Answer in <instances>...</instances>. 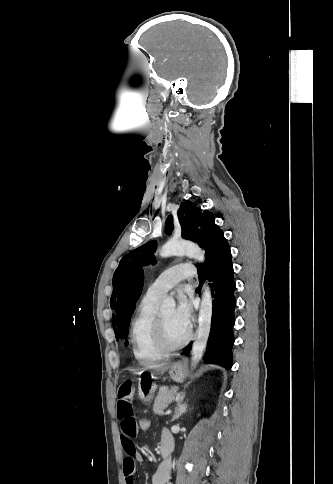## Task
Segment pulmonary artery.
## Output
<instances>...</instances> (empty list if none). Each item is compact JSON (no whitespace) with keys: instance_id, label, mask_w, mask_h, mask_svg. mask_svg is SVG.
<instances>
[{"instance_id":"obj_1","label":"pulmonary artery","mask_w":333,"mask_h":484,"mask_svg":"<svg viewBox=\"0 0 333 484\" xmlns=\"http://www.w3.org/2000/svg\"><path fill=\"white\" fill-rule=\"evenodd\" d=\"M195 274L193 265L181 263L163 271L148 287L146 295L159 298L181 280Z\"/></svg>"}]
</instances>
